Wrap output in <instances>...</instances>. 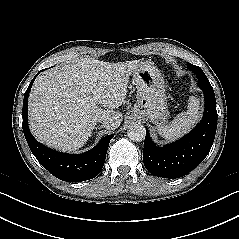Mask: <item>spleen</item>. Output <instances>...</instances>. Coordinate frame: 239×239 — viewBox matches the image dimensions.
<instances>
[{
    "mask_svg": "<svg viewBox=\"0 0 239 239\" xmlns=\"http://www.w3.org/2000/svg\"><path fill=\"white\" fill-rule=\"evenodd\" d=\"M200 103L194 96L189 98L187 111L178 114L169 124L157 126L158 134L167 141H174L188 133L201 118Z\"/></svg>",
    "mask_w": 239,
    "mask_h": 239,
    "instance_id": "1",
    "label": "spleen"
}]
</instances>
